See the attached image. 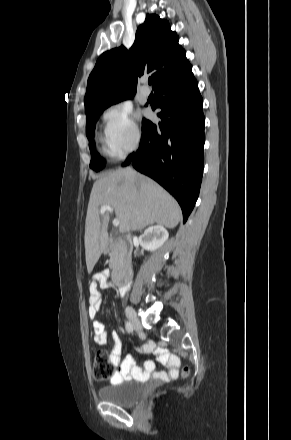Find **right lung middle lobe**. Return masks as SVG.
Returning a JSON list of instances; mask_svg holds the SVG:
<instances>
[{"label": "right lung middle lobe", "mask_w": 291, "mask_h": 440, "mask_svg": "<svg viewBox=\"0 0 291 440\" xmlns=\"http://www.w3.org/2000/svg\"><path fill=\"white\" fill-rule=\"evenodd\" d=\"M110 105L112 104L99 106L86 113L87 116L86 133H87V138L89 140V148L91 152L90 168L95 171H99L103 169L105 166L104 159L100 157L99 153H97L95 149V142H94L95 123L98 117L100 116V114L102 113V111L107 107H109Z\"/></svg>", "instance_id": "1"}]
</instances>
